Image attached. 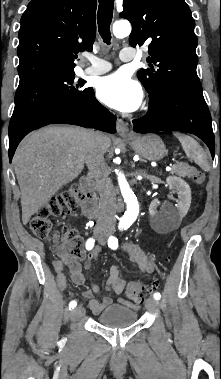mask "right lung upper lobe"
<instances>
[{
	"instance_id": "1",
	"label": "right lung upper lobe",
	"mask_w": 221,
	"mask_h": 379,
	"mask_svg": "<svg viewBox=\"0 0 221 379\" xmlns=\"http://www.w3.org/2000/svg\"><path fill=\"white\" fill-rule=\"evenodd\" d=\"M96 8V0H32L20 21V81L74 71L77 53L92 50Z\"/></svg>"
}]
</instances>
